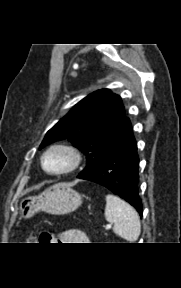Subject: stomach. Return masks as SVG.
Returning <instances> with one entry per match:
<instances>
[{
  "instance_id": "0dacf381",
  "label": "stomach",
  "mask_w": 181,
  "mask_h": 288,
  "mask_svg": "<svg viewBox=\"0 0 181 288\" xmlns=\"http://www.w3.org/2000/svg\"><path fill=\"white\" fill-rule=\"evenodd\" d=\"M82 204V196L69 184H55L37 196L22 199L20 217L31 218L39 211L53 215H65L75 211Z\"/></svg>"
}]
</instances>
